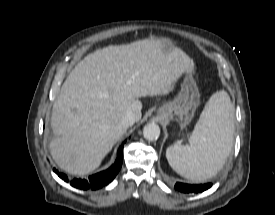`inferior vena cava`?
<instances>
[{
	"mask_svg": "<svg viewBox=\"0 0 275 215\" xmlns=\"http://www.w3.org/2000/svg\"><path fill=\"white\" fill-rule=\"evenodd\" d=\"M135 123V116L133 112L127 111L120 120V124L124 127H130Z\"/></svg>",
	"mask_w": 275,
	"mask_h": 215,
	"instance_id": "1",
	"label": "inferior vena cava"
}]
</instances>
